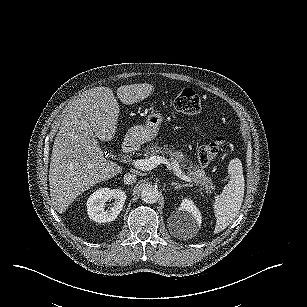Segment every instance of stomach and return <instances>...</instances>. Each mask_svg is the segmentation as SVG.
Returning a JSON list of instances; mask_svg holds the SVG:
<instances>
[{
    "label": "stomach",
    "instance_id": "0dacf381",
    "mask_svg": "<svg viewBox=\"0 0 307 307\" xmlns=\"http://www.w3.org/2000/svg\"><path fill=\"white\" fill-rule=\"evenodd\" d=\"M162 121L163 116L160 113H151L147 116L145 124L133 126L127 131L125 141L133 145H142L155 139Z\"/></svg>",
    "mask_w": 307,
    "mask_h": 307
}]
</instances>
